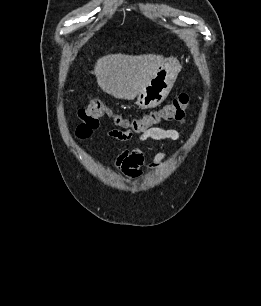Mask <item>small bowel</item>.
I'll return each instance as SVG.
<instances>
[{
    "mask_svg": "<svg viewBox=\"0 0 261 306\" xmlns=\"http://www.w3.org/2000/svg\"><path fill=\"white\" fill-rule=\"evenodd\" d=\"M181 121L183 118L180 119ZM109 135L115 139L125 140L119 135L117 130H112ZM180 138V133L176 129H164V128H151L144 132L137 141V146L131 150H124L120 152L114 162L115 167L126 177L130 179H138L142 176V167L145 163L143 151L139 147V144L148 140H172L177 141ZM167 154L165 152L157 153L149 165L151 170L157 168L165 159Z\"/></svg>",
    "mask_w": 261,
    "mask_h": 306,
    "instance_id": "small-bowel-1",
    "label": "small bowel"
}]
</instances>
